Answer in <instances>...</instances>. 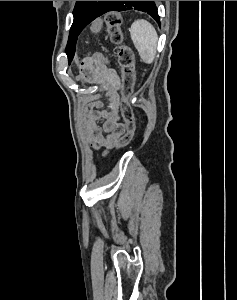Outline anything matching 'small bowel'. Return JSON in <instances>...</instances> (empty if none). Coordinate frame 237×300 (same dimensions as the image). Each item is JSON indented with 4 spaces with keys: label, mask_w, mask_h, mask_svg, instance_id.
Masks as SVG:
<instances>
[{
    "label": "small bowel",
    "mask_w": 237,
    "mask_h": 300,
    "mask_svg": "<svg viewBox=\"0 0 237 300\" xmlns=\"http://www.w3.org/2000/svg\"><path fill=\"white\" fill-rule=\"evenodd\" d=\"M79 79L96 85L106 94V103L96 102L86 107L83 128L92 147L111 150L117 145L118 139L124 132V125L119 117L118 73L112 67L91 65L87 59H84L79 65ZM98 120H103L101 127L97 125Z\"/></svg>",
    "instance_id": "c3829d8e"
}]
</instances>
